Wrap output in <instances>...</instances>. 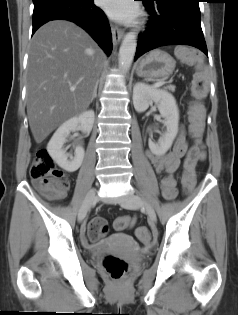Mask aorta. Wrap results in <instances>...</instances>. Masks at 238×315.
Masks as SVG:
<instances>
[{
  "mask_svg": "<svg viewBox=\"0 0 238 315\" xmlns=\"http://www.w3.org/2000/svg\"><path fill=\"white\" fill-rule=\"evenodd\" d=\"M137 40L134 33H127L119 49V67L127 72L132 64L136 52Z\"/></svg>",
  "mask_w": 238,
  "mask_h": 315,
  "instance_id": "762f6f07",
  "label": "aorta"
}]
</instances>
